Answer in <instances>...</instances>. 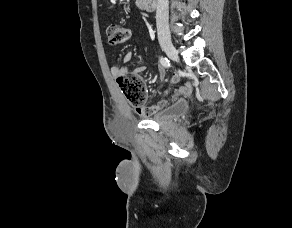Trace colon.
<instances>
[{"instance_id": "5ec220e1", "label": "colon", "mask_w": 292, "mask_h": 228, "mask_svg": "<svg viewBox=\"0 0 292 228\" xmlns=\"http://www.w3.org/2000/svg\"><path fill=\"white\" fill-rule=\"evenodd\" d=\"M106 32L108 42L113 46L125 43L130 37L129 30L120 24H110ZM117 83L133 107L137 109L143 107L146 99V90L143 80L139 75L126 73L117 78Z\"/></svg>"}]
</instances>
